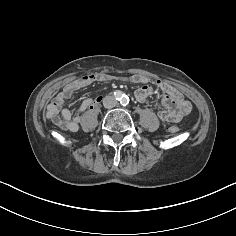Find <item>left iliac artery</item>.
<instances>
[{
    "mask_svg": "<svg viewBox=\"0 0 236 236\" xmlns=\"http://www.w3.org/2000/svg\"><path fill=\"white\" fill-rule=\"evenodd\" d=\"M129 103V98L127 96H124V98L121 101V104H123V106L127 105Z\"/></svg>",
    "mask_w": 236,
    "mask_h": 236,
    "instance_id": "44dca946",
    "label": "left iliac artery"
}]
</instances>
